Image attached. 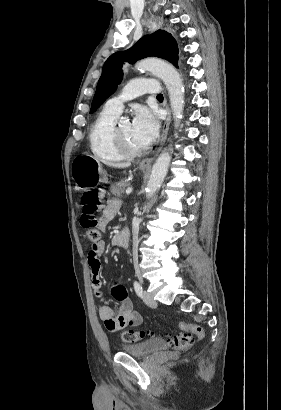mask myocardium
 <instances>
[{
	"instance_id": "obj_1",
	"label": "myocardium",
	"mask_w": 281,
	"mask_h": 410,
	"mask_svg": "<svg viewBox=\"0 0 281 410\" xmlns=\"http://www.w3.org/2000/svg\"><path fill=\"white\" fill-rule=\"evenodd\" d=\"M120 121L121 119L118 118L112 128V139L116 147L126 157H137V156L144 154L147 151L146 148L134 149L122 137L120 130H119Z\"/></svg>"
}]
</instances>
